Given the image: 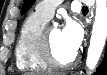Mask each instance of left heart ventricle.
Listing matches in <instances>:
<instances>
[{
	"mask_svg": "<svg viewBox=\"0 0 107 75\" xmlns=\"http://www.w3.org/2000/svg\"><path fill=\"white\" fill-rule=\"evenodd\" d=\"M49 35L56 58L60 62L69 61L75 53L65 45L61 30L56 27H51Z\"/></svg>",
	"mask_w": 107,
	"mask_h": 75,
	"instance_id": "obj_1",
	"label": "left heart ventricle"
}]
</instances>
